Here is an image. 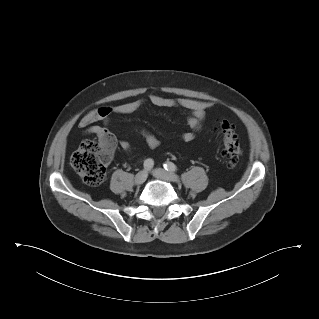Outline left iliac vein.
<instances>
[{
  "label": "left iliac vein",
  "mask_w": 319,
  "mask_h": 319,
  "mask_svg": "<svg viewBox=\"0 0 319 319\" xmlns=\"http://www.w3.org/2000/svg\"><path fill=\"white\" fill-rule=\"evenodd\" d=\"M153 175L161 180H165V181H171V182H178L179 181V177L173 173V172H168L164 169L161 168H157L154 169L152 171Z\"/></svg>",
  "instance_id": "obj_1"
}]
</instances>
